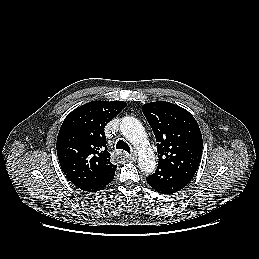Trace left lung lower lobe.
I'll return each instance as SVG.
<instances>
[{
  "mask_svg": "<svg viewBox=\"0 0 259 259\" xmlns=\"http://www.w3.org/2000/svg\"><path fill=\"white\" fill-rule=\"evenodd\" d=\"M147 183L161 194H173L183 189L189 182L176 173L157 167L155 173L146 177Z\"/></svg>",
  "mask_w": 259,
  "mask_h": 259,
  "instance_id": "0a47b994",
  "label": "left lung lower lobe"
}]
</instances>
